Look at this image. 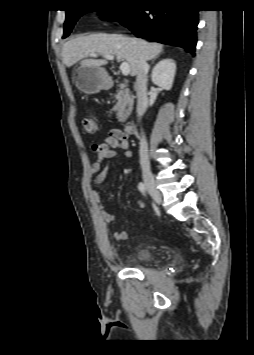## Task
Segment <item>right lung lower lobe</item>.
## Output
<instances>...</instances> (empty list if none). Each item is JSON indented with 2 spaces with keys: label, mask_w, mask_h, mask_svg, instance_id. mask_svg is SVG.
Instances as JSON below:
<instances>
[{
  "label": "right lung lower lobe",
  "mask_w": 254,
  "mask_h": 355,
  "mask_svg": "<svg viewBox=\"0 0 254 355\" xmlns=\"http://www.w3.org/2000/svg\"><path fill=\"white\" fill-rule=\"evenodd\" d=\"M189 1L160 2L156 5L163 8L150 10V13L145 12L147 5H137L118 22L140 38L178 45L194 55L199 10Z\"/></svg>",
  "instance_id": "98d812e1"
}]
</instances>
